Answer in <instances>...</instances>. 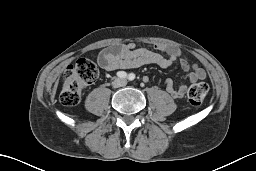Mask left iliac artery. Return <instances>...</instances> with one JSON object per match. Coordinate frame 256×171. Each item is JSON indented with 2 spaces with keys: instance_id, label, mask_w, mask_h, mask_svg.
<instances>
[{
  "instance_id": "obj_1",
  "label": "left iliac artery",
  "mask_w": 256,
  "mask_h": 171,
  "mask_svg": "<svg viewBox=\"0 0 256 171\" xmlns=\"http://www.w3.org/2000/svg\"><path fill=\"white\" fill-rule=\"evenodd\" d=\"M128 79H129L130 81L134 80V79H135V74H134V73H130V74L128 75Z\"/></svg>"
}]
</instances>
